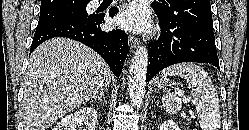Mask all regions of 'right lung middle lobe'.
<instances>
[{
	"label": "right lung middle lobe",
	"instance_id": "1",
	"mask_svg": "<svg viewBox=\"0 0 249 130\" xmlns=\"http://www.w3.org/2000/svg\"><path fill=\"white\" fill-rule=\"evenodd\" d=\"M88 3L82 2L77 6L65 9L41 10L38 25L67 20L86 19L90 16L86 11V5Z\"/></svg>",
	"mask_w": 249,
	"mask_h": 130
}]
</instances>
